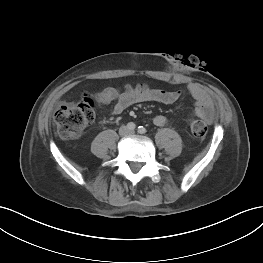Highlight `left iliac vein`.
I'll return each mask as SVG.
<instances>
[{
    "label": "left iliac vein",
    "mask_w": 263,
    "mask_h": 263,
    "mask_svg": "<svg viewBox=\"0 0 263 263\" xmlns=\"http://www.w3.org/2000/svg\"><path fill=\"white\" fill-rule=\"evenodd\" d=\"M129 133H130V134H134L135 132H134V131H130Z\"/></svg>",
    "instance_id": "left-iliac-vein-1"
}]
</instances>
